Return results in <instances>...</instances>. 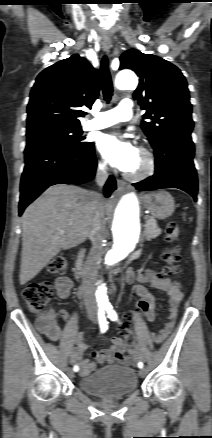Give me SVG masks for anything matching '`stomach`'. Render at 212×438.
I'll return each mask as SVG.
<instances>
[{
  "mask_svg": "<svg viewBox=\"0 0 212 438\" xmlns=\"http://www.w3.org/2000/svg\"><path fill=\"white\" fill-rule=\"evenodd\" d=\"M144 206L158 219L172 215L175 209L173 197L166 191L151 192L142 197Z\"/></svg>",
  "mask_w": 212,
  "mask_h": 438,
  "instance_id": "stomach-1",
  "label": "stomach"
}]
</instances>
